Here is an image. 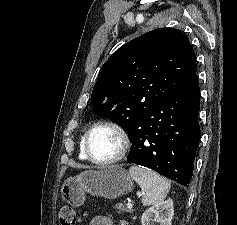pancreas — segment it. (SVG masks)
Listing matches in <instances>:
<instances>
[{
    "label": "pancreas",
    "instance_id": "cf45deb5",
    "mask_svg": "<svg viewBox=\"0 0 237 225\" xmlns=\"http://www.w3.org/2000/svg\"><path fill=\"white\" fill-rule=\"evenodd\" d=\"M115 209L118 213L121 212H132V210L127 209L122 203L116 204Z\"/></svg>",
    "mask_w": 237,
    "mask_h": 225
}]
</instances>
